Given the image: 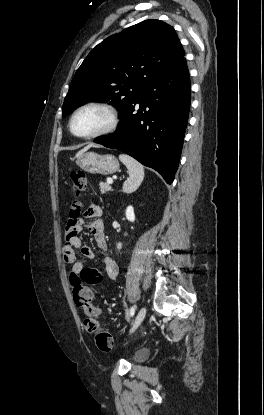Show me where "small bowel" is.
Instances as JSON below:
<instances>
[{"label":"small bowel","mask_w":264,"mask_h":415,"mask_svg":"<svg viewBox=\"0 0 264 415\" xmlns=\"http://www.w3.org/2000/svg\"><path fill=\"white\" fill-rule=\"evenodd\" d=\"M101 214V207L94 204L85 210L83 216L85 218L98 217V219L88 223L87 226L94 237L97 247L102 251H106L107 241L104 233V224L102 219L99 218ZM84 226H86L84 218L78 219L76 223L77 230H82ZM75 250H80L81 254L87 259H93L95 255L92 248L83 245L76 234L66 235V243L62 249L63 260L71 266L70 271L72 274H80L85 266V263L83 260L76 259ZM103 264L108 278L111 280L116 279L119 271L117 262L112 257L106 256L103 259ZM87 290L92 294V291L88 287Z\"/></svg>","instance_id":"obj_1"}]
</instances>
